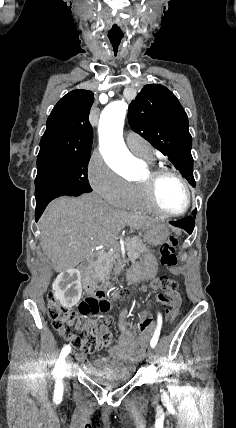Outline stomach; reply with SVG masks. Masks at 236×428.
Returning <instances> with one entry per match:
<instances>
[{
    "mask_svg": "<svg viewBox=\"0 0 236 428\" xmlns=\"http://www.w3.org/2000/svg\"><path fill=\"white\" fill-rule=\"evenodd\" d=\"M170 232L164 222H154L151 226L144 228V242L150 246H160L167 238ZM158 259L156 256H143L136 264H131L128 268V273L124 275V282L128 286H140L141 283H151L154 276L157 275Z\"/></svg>",
    "mask_w": 236,
    "mask_h": 428,
    "instance_id": "stomach-1",
    "label": "stomach"
}]
</instances>
